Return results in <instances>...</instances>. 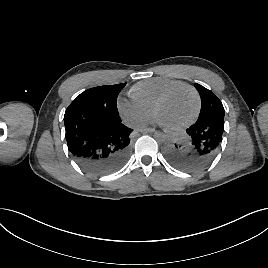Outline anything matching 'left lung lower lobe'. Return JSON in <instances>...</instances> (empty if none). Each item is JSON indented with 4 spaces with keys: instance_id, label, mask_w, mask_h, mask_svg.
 <instances>
[{
    "instance_id": "left-lung-lower-lobe-1",
    "label": "left lung lower lobe",
    "mask_w": 268,
    "mask_h": 268,
    "mask_svg": "<svg viewBox=\"0 0 268 268\" xmlns=\"http://www.w3.org/2000/svg\"><path fill=\"white\" fill-rule=\"evenodd\" d=\"M224 131V119L201 120L186 129L184 136L165 149L168 160L185 171L207 167L218 154Z\"/></svg>"
}]
</instances>
